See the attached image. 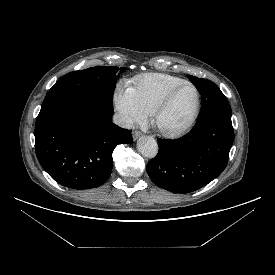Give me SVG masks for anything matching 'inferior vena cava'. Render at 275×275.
Masks as SVG:
<instances>
[{"label": "inferior vena cava", "mask_w": 275, "mask_h": 275, "mask_svg": "<svg viewBox=\"0 0 275 275\" xmlns=\"http://www.w3.org/2000/svg\"><path fill=\"white\" fill-rule=\"evenodd\" d=\"M113 122L122 127V128H126V129H131L133 128V121L130 117H128L125 114L122 113H117L113 116Z\"/></svg>", "instance_id": "602c4592"}]
</instances>
